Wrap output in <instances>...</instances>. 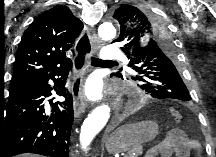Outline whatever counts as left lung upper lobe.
Masks as SVG:
<instances>
[{
  "instance_id": "5c2ea615",
  "label": "left lung upper lobe",
  "mask_w": 216,
  "mask_h": 157,
  "mask_svg": "<svg viewBox=\"0 0 216 157\" xmlns=\"http://www.w3.org/2000/svg\"><path fill=\"white\" fill-rule=\"evenodd\" d=\"M151 10L135 5L119 6L113 14L120 25V35L113 42H122V51L129 66L138 74L134 80L153 98L190 101L191 96L180 74L177 51L163 19ZM116 76L122 77L121 73Z\"/></svg>"
}]
</instances>
